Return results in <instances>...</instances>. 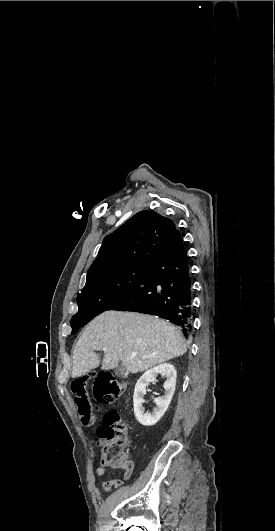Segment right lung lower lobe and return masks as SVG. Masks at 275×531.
Listing matches in <instances>:
<instances>
[{
	"instance_id": "right-lung-lower-lobe-1",
	"label": "right lung lower lobe",
	"mask_w": 275,
	"mask_h": 531,
	"mask_svg": "<svg viewBox=\"0 0 275 531\" xmlns=\"http://www.w3.org/2000/svg\"><path fill=\"white\" fill-rule=\"evenodd\" d=\"M192 290L187 251L178 230L146 265L136 284L109 310L155 315L178 325L184 335L192 329Z\"/></svg>"
}]
</instances>
